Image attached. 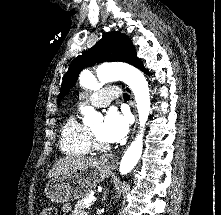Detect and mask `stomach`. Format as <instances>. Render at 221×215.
Wrapping results in <instances>:
<instances>
[{
    "label": "stomach",
    "mask_w": 221,
    "mask_h": 215,
    "mask_svg": "<svg viewBox=\"0 0 221 215\" xmlns=\"http://www.w3.org/2000/svg\"><path fill=\"white\" fill-rule=\"evenodd\" d=\"M111 173L100 160L74 173L50 179L44 188L46 197L54 203H65L90 195Z\"/></svg>",
    "instance_id": "stomach-1"
}]
</instances>
